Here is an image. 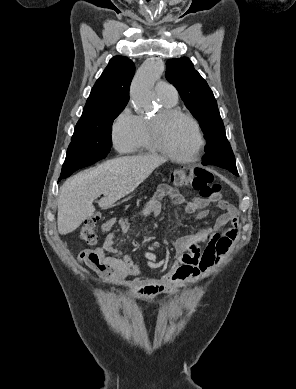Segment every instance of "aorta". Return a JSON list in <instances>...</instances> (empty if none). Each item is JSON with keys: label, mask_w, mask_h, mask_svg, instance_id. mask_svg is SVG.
<instances>
[{"label": "aorta", "mask_w": 296, "mask_h": 389, "mask_svg": "<svg viewBox=\"0 0 296 389\" xmlns=\"http://www.w3.org/2000/svg\"><path fill=\"white\" fill-rule=\"evenodd\" d=\"M163 71V63L156 58L148 59L138 69L130 89L131 99L136 106L145 108L153 106L152 89Z\"/></svg>", "instance_id": "762f6f07"}]
</instances>
